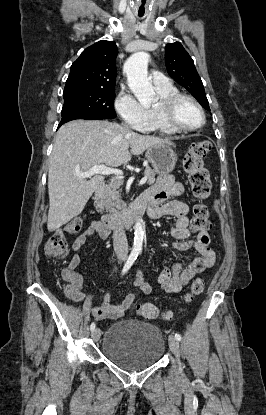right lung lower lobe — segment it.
<instances>
[{"instance_id": "98d812e1", "label": "right lung lower lobe", "mask_w": 266, "mask_h": 415, "mask_svg": "<svg viewBox=\"0 0 266 415\" xmlns=\"http://www.w3.org/2000/svg\"><path fill=\"white\" fill-rule=\"evenodd\" d=\"M75 119L95 120V119H105V118H99V117L82 118V117H75V116H66V117H63V118L61 119V122H60V124H59L58 128H59L62 124L66 123V122H68V121H71V120H75Z\"/></svg>"}]
</instances>
